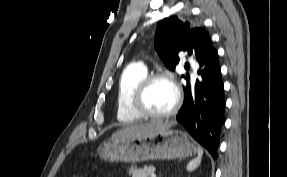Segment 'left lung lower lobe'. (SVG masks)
Returning <instances> with one entry per match:
<instances>
[{"label": "left lung lower lobe", "instance_id": "0a47b994", "mask_svg": "<svg viewBox=\"0 0 287 177\" xmlns=\"http://www.w3.org/2000/svg\"><path fill=\"white\" fill-rule=\"evenodd\" d=\"M199 78L184 81V103L176 117L190 135L217 159L220 133L224 124V86L213 46L199 59Z\"/></svg>", "mask_w": 287, "mask_h": 177}]
</instances>
